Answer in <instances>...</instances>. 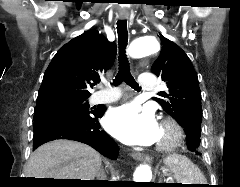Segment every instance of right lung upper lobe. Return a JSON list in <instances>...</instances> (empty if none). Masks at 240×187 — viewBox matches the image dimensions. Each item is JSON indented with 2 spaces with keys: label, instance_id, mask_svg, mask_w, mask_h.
I'll use <instances>...</instances> for the list:
<instances>
[{
  "label": "right lung upper lobe",
  "instance_id": "obj_1",
  "mask_svg": "<svg viewBox=\"0 0 240 187\" xmlns=\"http://www.w3.org/2000/svg\"><path fill=\"white\" fill-rule=\"evenodd\" d=\"M116 44L97 30L73 38L59 49L46 69L37 104L70 98H85L87 87L100 81L99 73L112 67Z\"/></svg>",
  "mask_w": 240,
  "mask_h": 187
}]
</instances>
